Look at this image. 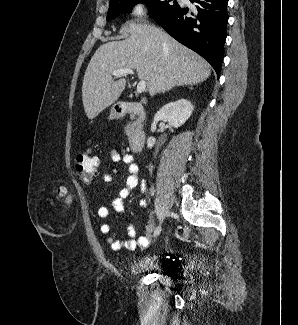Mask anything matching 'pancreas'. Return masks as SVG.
<instances>
[{"instance_id":"1","label":"pancreas","mask_w":298,"mask_h":325,"mask_svg":"<svg viewBox=\"0 0 298 325\" xmlns=\"http://www.w3.org/2000/svg\"><path fill=\"white\" fill-rule=\"evenodd\" d=\"M131 126H137V122H133V124H127V126H125L126 134H131V130H130Z\"/></svg>"}]
</instances>
